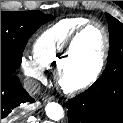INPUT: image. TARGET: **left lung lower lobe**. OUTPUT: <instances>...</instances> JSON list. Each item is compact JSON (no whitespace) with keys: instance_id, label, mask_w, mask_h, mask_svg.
I'll return each instance as SVG.
<instances>
[{"instance_id":"left-lung-lower-lobe-1","label":"left lung lower lobe","mask_w":123,"mask_h":123,"mask_svg":"<svg viewBox=\"0 0 123 123\" xmlns=\"http://www.w3.org/2000/svg\"><path fill=\"white\" fill-rule=\"evenodd\" d=\"M66 106L69 123H123V76L108 84L97 80Z\"/></svg>"}]
</instances>
